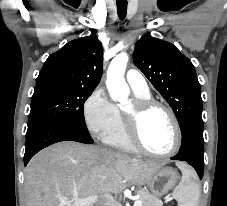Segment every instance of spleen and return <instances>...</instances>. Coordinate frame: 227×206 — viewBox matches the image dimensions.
<instances>
[{"label":"spleen","instance_id":"1","mask_svg":"<svg viewBox=\"0 0 227 206\" xmlns=\"http://www.w3.org/2000/svg\"><path fill=\"white\" fill-rule=\"evenodd\" d=\"M182 172L181 183L176 187L173 196L180 203V206H198L200 196L199 185L191 181L193 172L185 166L180 167Z\"/></svg>","mask_w":227,"mask_h":206}]
</instances>
